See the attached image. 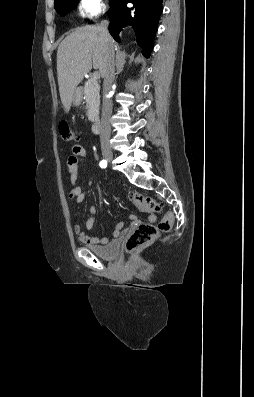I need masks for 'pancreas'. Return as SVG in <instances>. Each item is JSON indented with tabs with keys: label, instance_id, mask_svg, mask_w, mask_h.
<instances>
[{
	"label": "pancreas",
	"instance_id": "pancreas-1",
	"mask_svg": "<svg viewBox=\"0 0 254 397\" xmlns=\"http://www.w3.org/2000/svg\"><path fill=\"white\" fill-rule=\"evenodd\" d=\"M84 95L87 104V116L89 121L94 122L99 114L100 86L96 80L88 79L84 85Z\"/></svg>",
	"mask_w": 254,
	"mask_h": 397
}]
</instances>
